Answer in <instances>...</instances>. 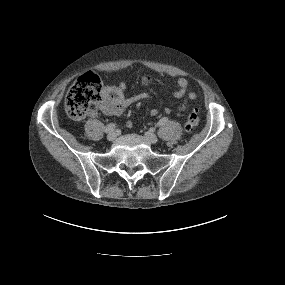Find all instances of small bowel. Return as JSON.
I'll list each match as a JSON object with an SVG mask.
<instances>
[{
    "label": "small bowel",
    "instance_id": "c3829d8e",
    "mask_svg": "<svg viewBox=\"0 0 285 285\" xmlns=\"http://www.w3.org/2000/svg\"><path fill=\"white\" fill-rule=\"evenodd\" d=\"M141 83L144 86H149L152 83V78L148 75H144L141 78ZM127 84L125 81H120L115 86H106L102 90V98L95 105V113L97 116L99 112L109 115V116H120L122 115L128 107L132 104L141 101H147L150 98L148 93H140L134 96H126L125 90ZM188 81L185 78H179L177 80V88L174 91V96L178 99H181V102L178 105V110L180 112L185 111L197 98L196 93L188 92ZM165 114H171V109L169 107L164 108ZM151 116H157L158 110L152 109L150 111ZM127 126L131 128L133 126L132 121L127 122Z\"/></svg>",
    "mask_w": 285,
    "mask_h": 285
}]
</instances>
